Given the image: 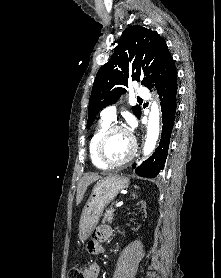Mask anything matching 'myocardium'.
Listing matches in <instances>:
<instances>
[{
  "instance_id": "obj_1",
  "label": "myocardium",
  "mask_w": 221,
  "mask_h": 278,
  "mask_svg": "<svg viewBox=\"0 0 221 278\" xmlns=\"http://www.w3.org/2000/svg\"><path fill=\"white\" fill-rule=\"evenodd\" d=\"M115 131H122L127 133L132 141V149L130 154L123 160L119 162H110L104 156V146L108 137ZM137 152V143L133 135L123 126L118 124L109 125L99 136L97 143H96V156L98 160L106 167L109 168H117L122 167L129 163L136 155Z\"/></svg>"
}]
</instances>
